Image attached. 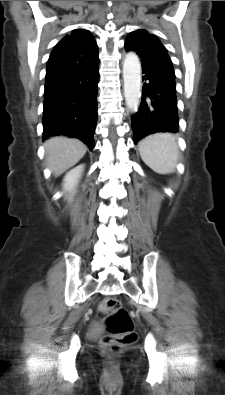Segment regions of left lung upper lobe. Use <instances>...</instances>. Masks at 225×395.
I'll list each match as a JSON object with an SVG mask.
<instances>
[{"instance_id": "5c2ea615", "label": "left lung upper lobe", "mask_w": 225, "mask_h": 395, "mask_svg": "<svg viewBox=\"0 0 225 395\" xmlns=\"http://www.w3.org/2000/svg\"><path fill=\"white\" fill-rule=\"evenodd\" d=\"M125 50H133L141 58L142 66H163L173 69L167 49L160 40L146 30L131 32L125 41Z\"/></svg>"}]
</instances>
